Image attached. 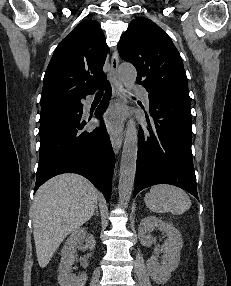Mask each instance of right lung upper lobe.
Wrapping results in <instances>:
<instances>
[{"instance_id": "obj_1", "label": "right lung upper lobe", "mask_w": 231, "mask_h": 286, "mask_svg": "<svg viewBox=\"0 0 231 286\" xmlns=\"http://www.w3.org/2000/svg\"><path fill=\"white\" fill-rule=\"evenodd\" d=\"M109 49L97 21L83 20L57 46L47 67L41 108L71 103L105 84Z\"/></svg>"}]
</instances>
